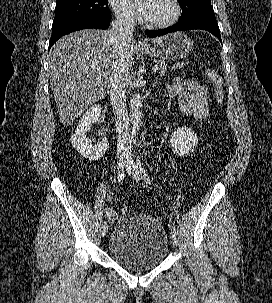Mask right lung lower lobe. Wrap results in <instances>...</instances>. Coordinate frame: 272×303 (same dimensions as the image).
Instances as JSON below:
<instances>
[{
    "label": "right lung lower lobe",
    "mask_w": 272,
    "mask_h": 303,
    "mask_svg": "<svg viewBox=\"0 0 272 303\" xmlns=\"http://www.w3.org/2000/svg\"><path fill=\"white\" fill-rule=\"evenodd\" d=\"M110 19L97 17L76 18L52 26V35L49 42L51 46L63 35L87 28L107 29L110 25Z\"/></svg>",
    "instance_id": "obj_1"
}]
</instances>
